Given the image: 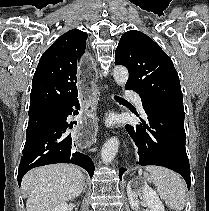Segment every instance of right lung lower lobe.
Masks as SVG:
<instances>
[{"mask_svg":"<svg viewBox=\"0 0 209 211\" xmlns=\"http://www.w3.org/2000/svg\"><path fill=\"white\" fill-rule=\"evenodd\" d=\"M73 107L79 108L78 99L59 106L53 117L26 139L18 169L19 186L30 169L54 163H72L84 168L90 177L93 176L94 163L89 156L75 151V143L69 133L73 123L67 122V117L75 114Z\"/></svg>","mask_w":209,"mask_h":211,"instance_id":"obj_1","label":"right lung lower lobe"}]
</instances>
